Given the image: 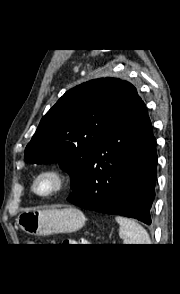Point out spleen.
Masks as SVG:
<instances>
[{
    "label": "spleen",
    "instance_id": "spleen-1",
    "mask_svg": "<svg viewBox=\"0 0 180 294\" xmlns=\"http://www.w3.org/2000/svg\"><path fill=\"white\" fill-rule=\"evenodd\" d=\"M115 220L120 225L119 236L123 244H150L147 231L133 219L116 216Z\"/></svg>",
    "mask_w": 180,
    "mask_h": 294
}]
</instances>
